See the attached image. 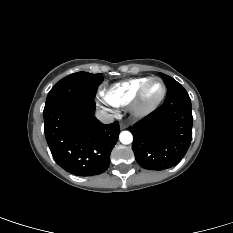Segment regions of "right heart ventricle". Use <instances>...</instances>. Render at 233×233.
Masks as SVG:
<instances>
[{
  "label": "right heart ventricle",
  "instance_id": "e07e8e85",
  "mask_svg": "<svg viewBox=\"0 0 233 233\" xmlns=\"http://www.w3.org/2000/svg\"><path fill=\"white\" fill-rule=\"evenodd\" d=\"M149 77L133 78L113 84L104 93L105 100L114 107H123L131 103L140 86Z\"/></svg>",
  "mask_w": 233,
  "mask_h": 233
}]
</instances>
